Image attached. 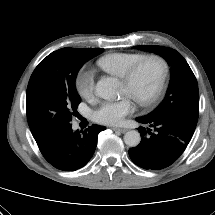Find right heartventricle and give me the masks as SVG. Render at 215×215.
Listing matches in <instances>:
<instances>
[{"label":"right heart ventricle","instance_id":"e07e8e85","mask_svg":"<svg viewBox=\"0 0 215 215\" xmlns=\"http://www.w3.org/2000/svg\"><path fill=\"white\" fill-rule=\"evenodd\" d=\"M144 54L136 52H116L107 54L98 60V65L105 72L122 78L127 70Z\"/></svg>","mask_w":215,"mask_h":215}]
</instances>
